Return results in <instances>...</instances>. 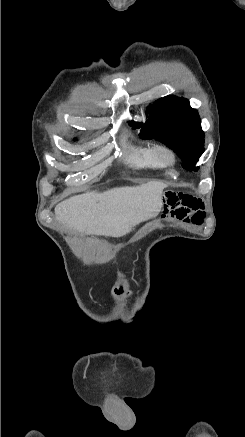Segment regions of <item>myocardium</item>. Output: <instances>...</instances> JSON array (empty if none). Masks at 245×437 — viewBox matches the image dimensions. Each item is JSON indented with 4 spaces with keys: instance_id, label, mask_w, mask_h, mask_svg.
Returning a JSON list of instances; mask_svg holds the SVG:
<instances>
[{
    "instance_id": "obj_1",
    "label": "myocardium",
    "mask_w": 245,
    "mask_h": 437,
    "mask_svg": "<svg viewBox=\"0 0 245 437\" xmlns=\"http://www.w3.org/2000/svg\"><path fill=\"white\" fill-rule=\"evenodd\" d=\"M152 150L164 164H172L176 161L175 151L165 144H156L152 147Z\"/></svg>"
}]
</instances>
